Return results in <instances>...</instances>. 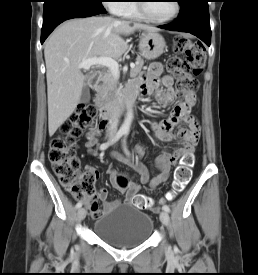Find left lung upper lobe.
Returning <instances> with one entry per match:
<instances>
[{
	"mask_svg": "<svg viewBox=\"0 0 258 275\" xmlns=\"http://www.w3.org/2000/svg\"><path fill=\"white\" fill-rule=\"evenodd\" d=\"M184 0H178V3L180 4L181 2H183Z\"/></svg>",
	"mask_w": 258,
	"mask_h": 275,
	"instance_id": "left-lung-upper-lobe-1",
	"label": "left lung upper lobe"
}]
</instances>
